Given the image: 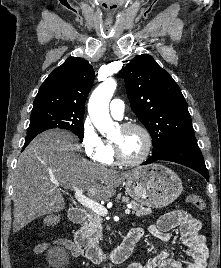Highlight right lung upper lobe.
I'll use <instances>...</instances> for the list:
<instances>
[{
    "label": "right lung upper lobe",
    "instance_id": "obj_1",
    "mask_svg": "<svg viewBox=\"0 0 221 268\" xmlns=\"http://www.w3.org/2000/svg\"><path fill=\"white\" fill-rule=\"evenodd\" d=\"M93 81L94 70L88 61L70 57L54 69L41 85L32 111L64 109L84 113Z\"/></svg>",
    "mask_w": 221,
    "mask_h": 268
}]
</instances>
